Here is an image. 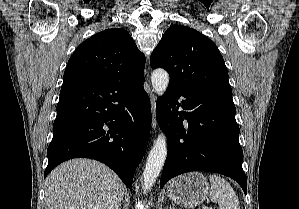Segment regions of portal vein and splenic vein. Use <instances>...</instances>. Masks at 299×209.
<instances>
[{"mask_svg":"<svg viewBox=\"0 0 299 209\" xmlns=\"http://www.w3.org/2000/svg\"><path fill=\"white\" fill-rule=\"evenodd\" d=\"M202 209H210V208H209V207H205V206H204Z\"/></svg>","mask_w":299,"mask_h":209,"instance_id":"1","label":"portal vein and splenic vein"}]
</instances>
